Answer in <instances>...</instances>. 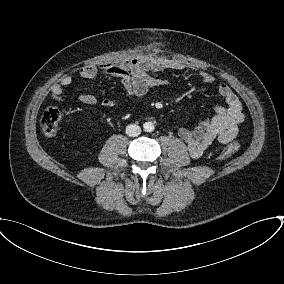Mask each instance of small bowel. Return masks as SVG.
Returning a JSON list of instances; mask_svg holds the SVG:
<instances>
[{
    "label": "small bowel",
    "instance_id": "c3829d8e",
    "mask_svg": "<svg viewBox=\"0 0 284 284\" xmlns=\"http://www.w3.org/2000/svg\"><path fill=\"white\" fill-rule=\"evenodd\" d=\"M181 69L180 65L168 59L153 56H141L121 62L106 63L99 69L93 65L80 67L76 71V77L81 79H94L98 75L102 77H118L127 97H141L149 89L167 85V81L149 75L150 72ZM201 81L206 85H212L216 79L212 74L202 72ZM74 80L73 75H65L58 83L51 87V94L57 102H65L64 89ZM219 96L225 105H216L214 115L200 122L195 128H180L179 137L186 143L188 152L192 158L201 157L213 144L226 145L233 141L244 122L245 115L238 96L226 84L217 86ZM83 105H93L97 98L92 93H84L79 97ZM104 107H113L118 104L115 98L103 101Z\"/></svg>",
    "mask_w": 284,
    "mask_h": 284
}]
</instances>
